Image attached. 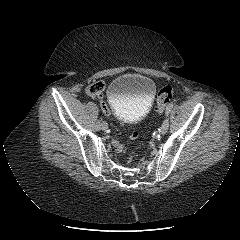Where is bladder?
<instances>
[{
  "label": "bladder",
  "instance_id": "1",
  "mask_svg": "<svg viewBox=\"0 0 240 240\" xmlns=\"http://www.w3.org/2000/svg\"><path fill=\"white\" fill-rule=\"evenodd\" d=\"M156 93L154 81L136 73L116 77L107 89L109 103L120 120L134 123L143 118Z\"/></svg>",
  "mask_w": 240,
  "mask_h": 240
}]
</instances>
